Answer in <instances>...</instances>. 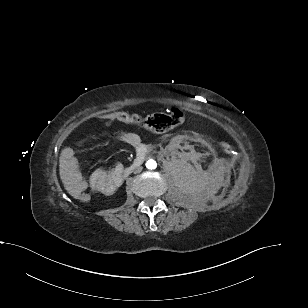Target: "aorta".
<instances>
[{
	"instance_id": "obj_1",
	"label": "aorta",
	"mask_w": 308,
	"mask_h": 308,
	"mask_svg": "<svg viewBox=\"0 0 308 308\" xmlns=\"http://www.w3.org/2000/svg\"><path fill=\"white\" fill-rule=\"evenodd\" d=\"M146 167L148 168V169H155L156 167H157V163H156V161L155 160H153V159H150V160H148L147 162H146Z\"/></svg>"
}]
</instances>
